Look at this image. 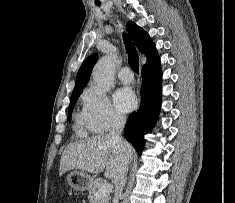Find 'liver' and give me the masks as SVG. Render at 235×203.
Here are the masks:
<instances>
[{
  "label": "liver",
  "instance_id": "1",
  "mask_svg": "<svg viewBox=\"0 0 235 203\" xmlns=\"http://www.w3.org/2000/svg\"><path fill=\"white\" fill-rule=\"evenodd\" d=\"M132 156L130 144L124 150L109 134H99L67 146L61 156L59 175L73 169L99 174L106 168L105 177L115 183L122 166L129 164Z\"/></svg>",
  "mask_w": 235,
  "mask_h": 203
}]
</instances>
